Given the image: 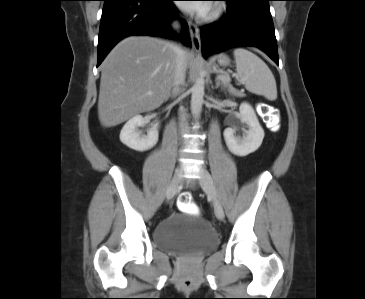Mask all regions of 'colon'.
Returning a JSON list of instances; mask_svg holds the SVG:
<instances>
[{
  "label": "colon",
  "instance_id": "obj_1",
  "mask_svg": "<svg viewBox=\"0 0 365 299\" xmlns=\"http://www.w3.org/2000/svg\"><path fill=\"white\" fill-rule=\"evenodd\" d=\"M264 117L268 119L272 129H278L280 125L279 118L277 117L273 108H268ZM177 206L180 210L190 213L197 212V206L193 201V196L189 192H183L177 199Z\"/></svg>",
  "mask_w": 365,
  "mask_h": 299
}]
</instances>
